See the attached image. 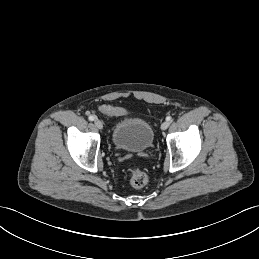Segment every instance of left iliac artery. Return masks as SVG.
<instances>
[{
    "label": "left iliac artery",
    "instance_id": "1",
    "mask_svg": "<svg viewBox=\"0 0 259 259\" xmlns=\"http://www.w3.org/2000/svg\"><path fill=\"white\" fill-rule=\"evenodd\" d=\"M172 120V117L171 116H167L166 117V121H171Z\"/></svg>",
    "mask_w": 259,
    "mask_h": 259
}]
</instances>
